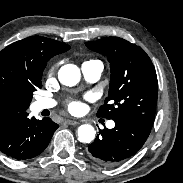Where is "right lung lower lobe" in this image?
Instances as JSON below:
<instances>
[{
    "label": "right lung lower lobe",
    "mask_w": 183,
    "mask_h": 183,
    "mask_svg": "<svg viewBox=\"0 0 183 183\" xmlns=\"http://www.w3.org/2000/svg\"><path fill=\"white\" fill-rule=\"evenodd\" d=\"M58 127L50 118L36 120L26 111L17 113L0 126V151L17 160L33 158L45 150Z\"/></svg>",
    "instance_id": "98d812e1"
}]
</instances>
